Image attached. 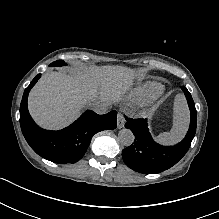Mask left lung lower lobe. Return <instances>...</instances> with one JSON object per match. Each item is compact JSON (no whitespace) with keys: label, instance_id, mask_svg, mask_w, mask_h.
I'll use <instances>...</instances> for the list:
<instances>
[{"label":"left lung lower lobe","instance_id":"obj_1","mask_svg":"<svg viewBox=\"0 0 219 219\" xmlns=\"http://www.w3.org/2000/svg\"><path fill=\"white\" fill-rule=\"evenodd\" d=\"M181 89L187 98L191 114L185 138L177 145L162 146L152 139L146 120L126 118L125 127L135 136L134 143L122 151L123 161L129 168L144 174L159 173L175 165L188 151L196 133L197 111L187 88Z\"/></svg>","mask_w":219,"mask_h":219}]
</instances>
